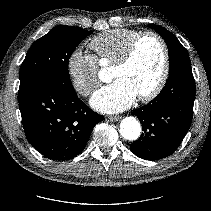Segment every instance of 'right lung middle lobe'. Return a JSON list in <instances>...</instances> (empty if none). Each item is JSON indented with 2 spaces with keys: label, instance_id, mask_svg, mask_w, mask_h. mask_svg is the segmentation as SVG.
I'll return each instance as SVG.
<instances>
[{
  "label": "right lung middle lobe",
  "instance_id": "right-lung-middle-lobe-1",
  "mask_svg": "<svg viewBox=\"0 0 211 211\" xmlns=\"http://www.w3.org/2000/svg\"><path fill=\"white\" fill-rule=\"evenodd\" d=\"M92 31L60 25L37 39L21 64L20 87L39 78L57 79L72 85L68 62L75 48Z\"/></svg>",
  "mask_w": 211,
  "mask_h": 211
}]
</instances>
